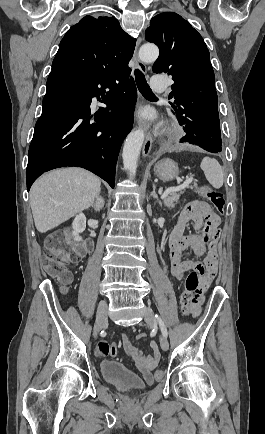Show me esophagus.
I'll return each mask as SVG.
<instances>
[{"label": "esophagus", "instance_id": "34e87169", "mask_svg": "<svg viewBox=\"0 0 265 434\" xmlns=\"http://www.w3.org/2000/svg\"><path fill=\"white\" fill-rule=\"evenodd\" d=\"M141 40H142L141 38H138V40H137L135 52L133 54V61H134L135 65H136V67L141 72L146 73V71H147L146 65L143 62H141V60H139L138 52H137V49H138V47H139V45L141 43ZM141 123H142L143 127L147 131L146 132V137H145V142H144V145H143V152H142L143 157H146L150 153V151H151L153 137H152L151 133L148 131L147 124L145 122H143V121Z\"/></svg>", "mask_w": 265, "mask_h": 434}]
</instances>
